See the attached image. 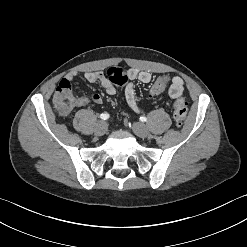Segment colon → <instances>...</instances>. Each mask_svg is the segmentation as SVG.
<instances>
[{
    "mask_svg": "<svg viewBox=\"0 0 247 247\" xmlns=\"http://www.w3.org/2000/svg\"><path fill=\"white\" fill-rule=\"evenodd\" d=\"M106 77L114 85L122 86L128 81V72L120 67H112L106 71ZM169 82L168 76L159 77L151 88L152 95H158L165 90ZM74 96L68 84H59L54 94V105L58 111L66 113L72 109ZM187 114V103L182 97H178L173 103V116L177 127H181Z\"/></svg>",
    "mask_w": 247,
    "mask_h": 247,
    "instance_id": "obj_1",
    "label": "colon"
}]
</instances>
